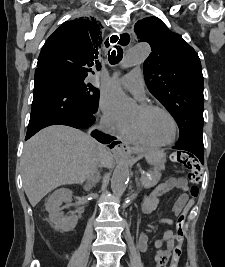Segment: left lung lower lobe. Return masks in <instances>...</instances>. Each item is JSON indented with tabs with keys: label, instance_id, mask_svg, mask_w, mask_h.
<instances>
[{
	"label": "left lung lower lobe",
	"instance_id": "left-lung-lower-lobe-1",
	"mask_svg": "<svg viewBox=\"0 0 225 267\" xmlns=\"http://www.w3.org/2000/svg\"><path fill=\"white\" fill-rule=\"evenodd\" d=\"M173 148L185 150L192 153L193 155L198 157L202 164H204V145L203 137L201 135L192 136L182 143H177V145ZM192 154L190 155L193 157Z\"/></svg>",
	"mask_w": 225,
	"mask_h": 267
}]
</instances>
